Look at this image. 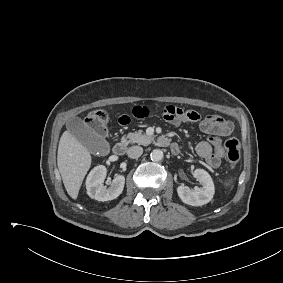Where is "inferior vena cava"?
Instances as JSON below:
<instances>
[{"label":"inferior vena cava","instance_id":"inferior-vena-cava-1","mask_svg":"<svg viewBox=\"0 0 283 283\" xmlns=\"http://www.w3.org/2000/svg\"><path fill=\"white\" fill-rule=\"evenodd\" d=\"M143 148L140 146H132L128 149L127 154L130 158H138L142 155Z\"/></svg>","mask_w":283,"mask_h":283}]
</instances>
